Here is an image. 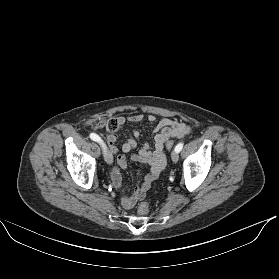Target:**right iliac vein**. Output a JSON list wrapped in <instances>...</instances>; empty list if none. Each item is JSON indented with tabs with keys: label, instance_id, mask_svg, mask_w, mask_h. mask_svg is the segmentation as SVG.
<instances>
[{
	"label": "right iliac vein",
	"instance_id": "1",
	"mask_svg": "<svg viewBox=\"0 0 279 279\" xmlns=\"http://www.w3.org/2000/svg\"><path fill=\"white\" fill-rule=\"evenodd\" d=\"M103 152H104V157H105L106 162L111 164L113 162V156H112L111 152L109 150H107L105 146H103Z\"/></svg>",
	"mask_w": 279,
	"mask_h": 279
}]
</instances>
